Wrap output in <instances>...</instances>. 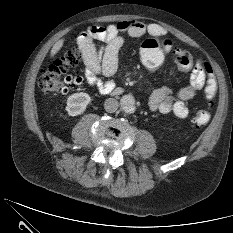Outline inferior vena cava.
<instances>
[{
    "label": "inferior vena cava",
    "instance_id": "inferior-vena-cava-1",
    "mask_svg": "<svg viewBox=\"0 0 233 233\" xmlns=\"http://www.w3.org/2000/svg\"><path fill=\"white\" fill-rule=\"evenodd\" d=\"M119 107V102L114 98H108L104 103V109L109 112H115Z\"/></svg>",
    "mask_w": 233,
    "mask_h": 233
}]
</instances>
